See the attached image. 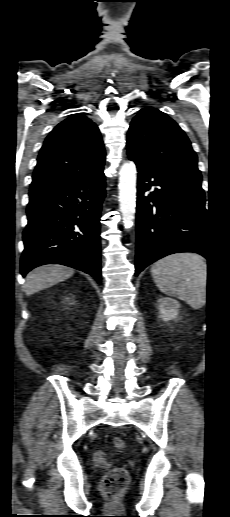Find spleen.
I'll list each match as a JSON object with an SVG mask.
<instances>
[{
  "mask_svg": "<svg viewBox=\"0 0 230 517\" xmlns=\"http://www.w3.org/2000/svg\"><path fill=\"white\" fill-rule=\"evenodd\" d=\"M156 286L166 295L177 297L198 309L206 303L207 264L193 253L167 256L151 267Z\"/></svg>",
  "mask_w": 230,
  "mask_h": 517,
  "instance_id": "1",
  "label": "spleen"
}]
</instances>
